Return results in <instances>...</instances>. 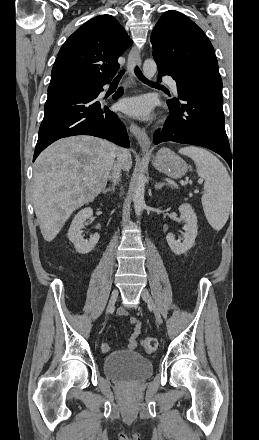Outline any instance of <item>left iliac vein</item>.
I'll return each instance as SVG.
<instances>
[{
	"mask_svg": "<svg viewBox=\"0 0 259 440\" xmlns=\"http://www.w3.org/2000/svg\"><path fill=\"white\" fill-rule=\"evenodd\" d=\"M141 298L146 302V304L148 305L149 309L154 313L156 322L160 325L162 323V318H161V314L158 310V308L156 307L149 291L147 289H142L141 291Z\"/></svg>",
	"mask_w": 259,
	"mask_h": 440,
	"instance_id": "obj_1",
	"label": "left iliac vein"
}]
</instances>
